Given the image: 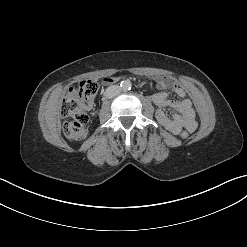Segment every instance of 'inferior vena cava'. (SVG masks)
Listing matches in <instances>:
<instances>
[{"mask_svg":"<svg viewBox=\"0 0 247 247\" xmlns=\"http://www.w3.org/2000/svg\"><path fill=\"white\" fill-rule=\"evenodd\" d=\"M121 92V88L118 85H111L105 91V96L107 98H113Z\"/></svg>","mask_w":247,"mask_h":247,"instance_id":"602c4592","label":"inferior vena cava"}]
</instances>
